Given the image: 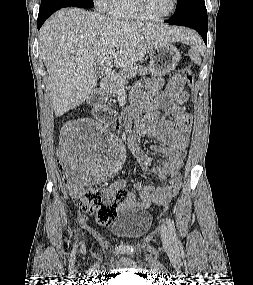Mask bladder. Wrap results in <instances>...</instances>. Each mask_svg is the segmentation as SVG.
<instances>
[{"instance_id": "obj_1", "label": "bladder", "mask_w": 253, "mask_h": 285, "mask_svg": "<svg viewBox=\"0 0 253 285\" xmlns=\"http://www.w3.org/2000/svg\"><path fill=\"white\" fill-rule=\"evenodd\" d=\"M152 224L151 213L144 208H127L120 212L110 225L112 236L123 240H137L143 237Z\"/></svg>"}]
</instances>
